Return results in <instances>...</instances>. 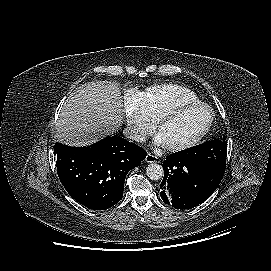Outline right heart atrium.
<instances>
[{
  "instance_id": "obj_1",
  "label": "right heart atrium",
  "mask_w": 271,
  "mask_h": 271,
  "mask_svg": "<svg viewBox=\"0 0 271 271\" xmlns=\"http://www.w3.org/2000/svg\"><path fill=\"white\" fill-rule=\"evenodd\" d=\"M123 117L130 137L143 141L153 129L154 123L146 108L143 92L131 89L126 95Z\"/></svg>"
}]
</instances>
